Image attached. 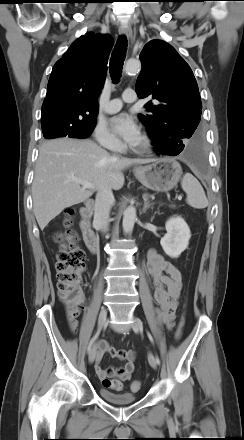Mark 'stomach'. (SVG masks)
<instances>
[{
	"label": "stomach",
	"mask_w": 244,
	"mask_h": 440,
	"mask_svg": "<svg viewBox=\"0 0 244 440\" xmlns=\"http://www.w3.org/2000/svg\"><path fill=\"white\" fill-rule=\"evenodd\" d=\"M134 175L146 188L166 192L177 185L182 168L175 159L163 157L149 165L135 168Z\"/></svg>",
	"instance_id": "stomach-1"
}]
</instances>
